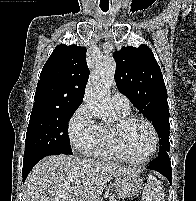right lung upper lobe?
<instances>
[{
    "label": "right lung upper lobe",
    "instance_id": "1",
    "mask_svg": "<svg viewBox=\"0 0 196 201\" xmlns=\"http://www.w3.org/2000/svg\"><path fill=\"white\" fill-rule=\"evenodd\" d=\"M89 78L86 49L58 45L45 63L34 96V105L58 108L80 106Z\"/></svg>",
    "mask_w": 196,
    "mask_h": 201
}]
</instances>
